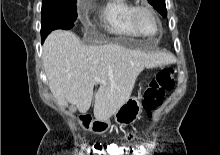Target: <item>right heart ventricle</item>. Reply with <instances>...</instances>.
<instances>
[{
    "mask_svg": "<svg viewBox=\"0 0 220 155\" xmlns=\"http://www.w3.org/2000/svg\"><path fill=\"white\" fill-rule=\"evenodd\" d=\"M134 5L129 0H105L98 18L105 30L120 37H137L138 34L130 23V12Z\"/></svg>",
    "mask_w": 220,
    "mask_h": 155,
    "instance_id": "1",
    "label": "right heart ventricle"
}]
</instances>
